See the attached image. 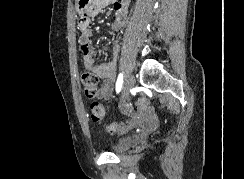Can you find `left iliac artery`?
<instances>
[{"instance_id": "obj_1", "label": "left iliac artery", "mask_w": 244, "mask_h": 179, "mask_svg": "<svg viewBox=\"0 0 244 179\" xmlns=\"http://www.w3.org/2000/svg\"><path fill=\"white\" fill-rule=\"evenodd\" d=\"M123 84V74L120 73L116 81V92L119 93Z\"/></svg>"}]
</instances>
